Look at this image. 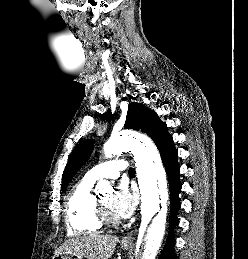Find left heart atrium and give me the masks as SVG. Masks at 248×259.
Segmentation results:
<instances>
[{
    "instance_id": "1",
    "label": "left heart atrium",
    "mask_w": 248,
    "mask_h": 259,
    "mask_svg": "<svg viewBox=\"0 0 248 259\" xmlns=\"http://www.w3.org/2000/svg\"><path fill=\"white\" fill-rule=\"evenodd\" d=\"M136 197L125 184H120L112 197V210L117 217H130L136 207Z\"/></svg>"
}]
</instances>
